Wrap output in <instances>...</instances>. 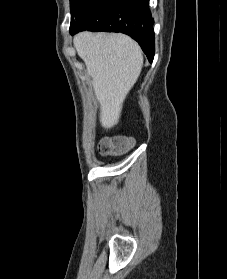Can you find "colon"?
<instances>
[{
	"instance_id": "colon-1",
	"label": "colon",
	"mask_w": 227,
	"mask_h": 279,
	"mask_svg": "<svg viewBox=\"0 0 227 279\" xmlns=\"http://www.w3.org/2000/svg\"><path fill=\"white\" fill-rule=\"evenodd\" d=\"M132 144V140L101 141L98 144L97 152L100 155H120L128 151Z\"/></svg>"
}]
</instances>
